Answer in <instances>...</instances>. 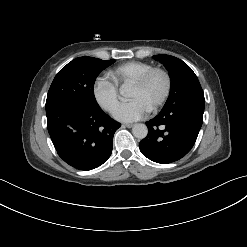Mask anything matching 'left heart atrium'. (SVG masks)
I'll return each mask as SVG.
<instances>
[{"label":"left heart atrium","mask_w":247,"mask_h":247,"mask_svg":"<svg viewBox=\"0 0 247 247\" xmlns=\"http://www.w3.org/2000/svg\"><path fill=\"white\" fill-rule=\"evenodd\" d=\"M150 111V108L140 99H133L116 105L113 109L115 119L123 122L136 121Z\"/></svg>","instance_id":"obj_1"}]
</instances>
